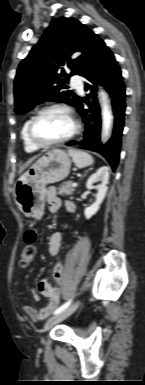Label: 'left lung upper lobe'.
<instances>
[{
	"label": "left lung upper lobe",
	"instance_id": "left-lung-upper-lobe-1",
	"mask_svg": "<svg viewBox=\"0 0 145 385\" xmlns=\"http://www.w3.org/2000/svg\"><path fill=\"white\" fill-rule=\"evenodd\" d=\"M94 33L72 18L52 21L39 42L20 63L15 82V112L24 114L46 101L67 103L78 109L81 98L67 88L69 77L79 74L88 55ZM83 54L70 59L73 52ZM66 69L71 70L67 75Z\"/></svg>",
	"mask_w": 145,
	"mask_h": 385
}]
</instances>
